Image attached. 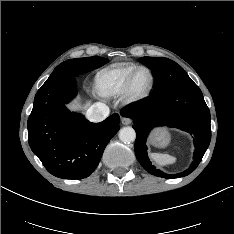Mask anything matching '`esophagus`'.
<instances>
[{
	"label": "esophagus",
	"mask_w": 234,
	"mask_h": 234,
	"mask_svg": "<svg viewBox=\"0 0 234 234\" xmlns=\"http://www.w3.org/2000/svg\"><path fill=\"white\" fill-rule=\"evenodd\" d=\"M121 122L123 125H129L132 123V119L126 116L121 117Z\"/></svg>",
	"instance_id": "1"
}]
</instances>
